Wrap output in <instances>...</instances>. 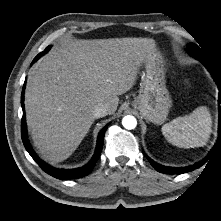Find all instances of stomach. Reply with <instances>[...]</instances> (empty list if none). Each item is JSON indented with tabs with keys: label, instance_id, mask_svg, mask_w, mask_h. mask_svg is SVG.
Instances as JSON below:
<instances>
[{
	"label": "stomach",
	"instance_id": "stomach-1",
	"mask_svg": "<svg viewBox=\"0 0 221 221\" xmlns=\"http://www.w3.org/2000/svg\"><path fill=\"white\" fill-rule=\"evenodd\" d=\"M166 67L159 52L145 62V74L140 85L139 94L132 102L142 117L154 124H162L167 119L172 106L166 88Z\"/></svg>",
	"mask_w": 221,
	"mask_h": 221
}]
</instances>
